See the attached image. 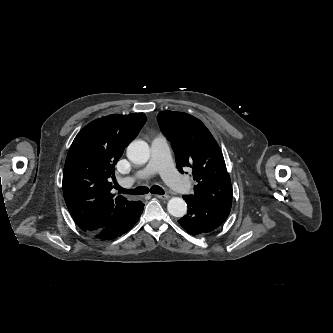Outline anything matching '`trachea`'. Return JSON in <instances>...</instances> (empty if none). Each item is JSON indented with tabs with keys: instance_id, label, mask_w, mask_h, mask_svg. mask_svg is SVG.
<instances>
[{
	"instance_id": "trachea-1",
	"label": "trachea",
	"mask_w": 333,
	"mask_h": 333,
	"mask_svg": "<svg viewBox=\"0 0 333 333\" xmlns=\"http://www.w3.org/2000/svg\"><path fill=\"white\" fill-rule=\"evenodd\" d=\"M117 189L119 190L120 193L131 194V195H143L149 192H151L152 194H160V195L164 194V190L157 185H153L150 189L145 186L137 187L135 189H124L118 185Z\"/></svg>"
}]
</instances>
